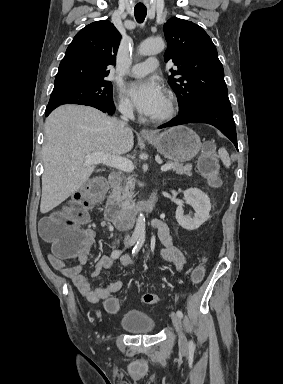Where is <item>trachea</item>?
Wrapping results in <instances>:
<instances>
[{"mask_svg": "<svg viewBox=\"0 0 283 384\" xmlns=\"http://www.w3.org/2000/svg\"><path fill=\"white\" fill-rule=\"evenodd\" d=\"M147 14L146 8L136 7L135 8V18L138 23H142L145 20Z\"/></svg>", "mask_w": 283, "mask_h": 384, "instance_id": "1", "label": "trachea"}]
</instances>
